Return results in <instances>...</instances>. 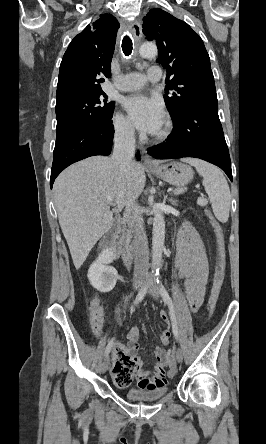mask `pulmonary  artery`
<instances>
[{"label": "pulmonary artery", "mask_w": 266, "mask_h": 444, "mask_svg": "<svg viewBox=\"0 0 266 444\" xmlns=\"http://www.w3.org/2000/svg\"><path fill=\"white\" fill-rule=\"evenodd\" d=\"M162 77V70L158 66L148 68L146 75L138 72L127 73L120 79L114 80V87L123 91L135 90L143 87L147 81L156 82Z\"/></svg>", "instance_id": "obj_1"}]
</instances>
